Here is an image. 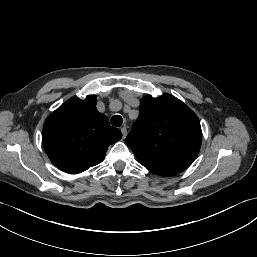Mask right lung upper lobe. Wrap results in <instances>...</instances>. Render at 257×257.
I'll list each match as a JSON object with an SVG mask.
<instances>
[{"mask_svg": "<svg viewBox=\"0 0 257 257\" xmlns=\"http://www.w3.org/2000/svg\"><path fill=\"white\" fill-rule=\"evenodd\" d=\"M121 137L97 110L96 97L89 95L85 100L69 99L46 119L42 143L55 166L77 174L99 164L108 146Z\"/></svg>", "mask_w": 257, "mask_h": 257, "instance_id": "1", "label": "right lung upper lobe"}]
</instances>
